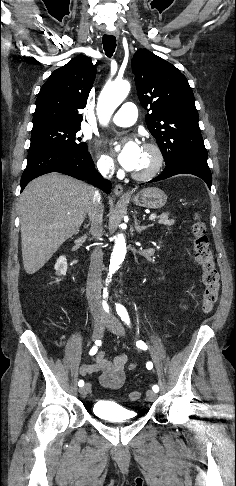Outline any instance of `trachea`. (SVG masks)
Listing matches in <instances>:
<instances>
[{
    "mask_svg": "<svg viewBox=\"0 0 236 486\" xmlns=\"http://www.w3.org/2000/svg\"><path fill=\"white\" fill-rule=\"evenodd\" d=\"M116 48V37L113 35L103 36V49L108 57H111Z\"/></svg>",
    "mask_w": 236,
    "mask_h": 486,
    "instance_id": "3493384b",
    "label": "trachea"
}]
</instances>
